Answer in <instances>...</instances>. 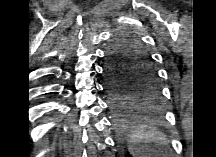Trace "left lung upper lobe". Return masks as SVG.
Wrapping results in <instances>:
<instances>
[{"label": "left lung upper lobe", "mask_w": 216, "mask_h": 157, "mask_svg": "<svg viewBox=\"0 0 216 157\" xmlns=\"http://www.w3.org/2000/svg\"><path fill=\"white\" fill-rule=\"evenodd\" d=\"M106 71L110 82L132 89L134 103L159 93L152 59L131 35L115 36L107 50Z\"/></svg>", "instance_id": "left-lung-upper-lobe-1"}]
</instances>
